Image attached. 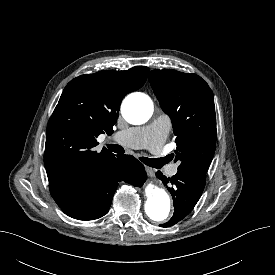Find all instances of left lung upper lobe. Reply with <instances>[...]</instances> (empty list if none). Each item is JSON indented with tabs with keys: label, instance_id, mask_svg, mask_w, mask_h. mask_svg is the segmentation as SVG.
<instances>
[{
	"label": "left lung upper lobe",
	"instance_id": "1",
	"mask_svg": "<svg viewBox=\"0 0 275 275\" xmlns=\"http://www.w3.org/2000/svg\"><path fill=\"white\" fill-rule=\"evenodd\" d=\"M149 81L163 111L172 121L178 171L205 179L216 148L212 90L198 75L173 69L152 70Z\"/></svg>",
	"mask_w": 275,
	"mask_h": 275
}]
</instances>
